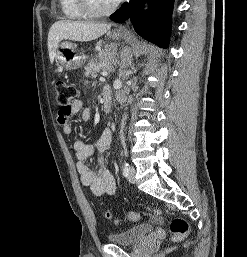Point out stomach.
Returning <instances> with one entry per match:
<instances>
[{
  "instance_id": "obj_1",
  "label": "stomach",
  "mask_w": 247,
  "mask_h": 257,
  "mask_svg": "<svg viewBox=\"0 0 247 257\" xmlns=\"http://www.w3.org/2000/svg\"><path fill=\"white\" fill-rule=\"evenodd\" d=\"M109 36L113 42L102 50V56H106L108 49H113L111 57H106L110 58L113 62L120 63V65H126L131 61V53L129 48L122 47L121 50L117 52L118 43L126 41V34L112 31ZM56 59L58 63L66 70L78 69L85 63V57L78 53L77 45L67 41L62 42L59 45Z\"/></svg>"
}]
</instances>
